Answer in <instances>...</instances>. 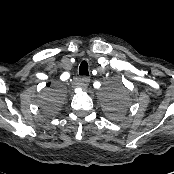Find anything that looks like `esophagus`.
<instances>
[{"instance_id": "34e87169", "label": "esophagus", "mask_w": 174, "mask_h": 174, "mask_svg": "<svg viewBox=\"0 0 174 174\" xmlns=\"http://www.w3.org/2000/svg\"><path fill=\"white\" fill-rule=\"evenodd\" d=\"M90 83V78L87 76H84L81 78V86L86 88Z\"/></svg>"}]
</instances>
